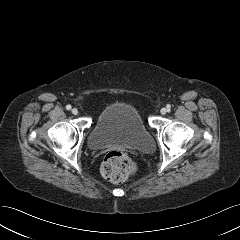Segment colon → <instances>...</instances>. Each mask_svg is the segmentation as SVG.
<instances>
[{"label": "colon", "mask_w": 240, "mask_h": 240, "mask_svg": "<svg viewBox=\"0 0 240 240\" xmlns=\"http://www.w3.org/2000/svg\"><path fill=\"white\" fill-rule=\"evenodd\" d=\"M136 171L134 161L124 152L110 151L101 165L102 176L112 182H123Z\"/></svg>", "instance_id": "colon-1"}]
</instances>
